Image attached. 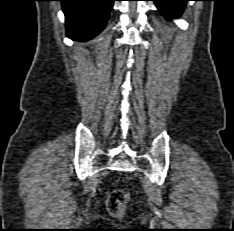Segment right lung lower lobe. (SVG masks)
Segmentation results:
<instances>
[{"label": "right lung lower lobe", "mask_w": 234, "mask_h": 231, "mask_svg": "<svg viewBox=\"0 0 234 231\" xmlns=\"http://www.w3.org/2000/svg\"><path fill=\"white\" fill-rule=\"evenodd\" d=\"M66 17V35L87 40L106 25L115 0H60Z\"/></svg>", "instance_id": "obj_1"}]
</instances>
